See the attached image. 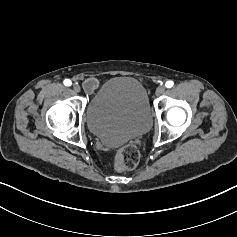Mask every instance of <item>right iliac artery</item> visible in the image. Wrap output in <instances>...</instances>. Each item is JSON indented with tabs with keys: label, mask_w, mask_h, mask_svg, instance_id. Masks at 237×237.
I'll use <instances>...</instances> for the list:
<instances>
[{
	"label": "right iliac artery",
	"mask_w": 237,
	"mask_h": 237,
	"mask_svg": "<svg viewBox=\"0 0 237 237\" xmlns=\"http://www.w3.org/2000/svg\"><path fill=\"white\" fill-rule=\"evenodd\" d=\"M63 83L65 86H71V84H72L71 80H69V79H65Z\"/></svg>",
	"instance_id": "right-iliac-artery-1"
}]
</instances>
